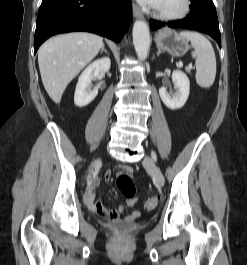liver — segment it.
<instances>
[{
  "label": "liver",
  "instance_id": "6515ba94",
  "mask_svg": "<svg viewBox=\"0 0 247 265\" xmlns=\"http://www.w3.org/2000/svg\"><path fill=\"white\" fill-rule=\"evenodd\" d=\"M102 37L83 32L58 35L47 40L38 52L44 88L60 103L67 85L91 62L103 46Z\"/></svg>",
  "mask_w": 247,
  "mask_h": 265
}]
</instances>
